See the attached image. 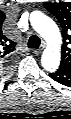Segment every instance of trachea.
I'll return each instance as SVG.
<instances>
[{
    "mask_svg": "<svg viewBox=\"0 0 71 119\" xmlns=\"http://www.w3.org/2000/svg\"><path fill=\"white\" fill-rule=\"evenodd\" d=\"M40 43H41L40 38L36 35H32L28 40V48L38 49Z\"/></svg>",
    "mask_w": 71,
    "mask_h": 119,
    "instance_id": "1",
    "label": "trachea"
}]
</instances>
